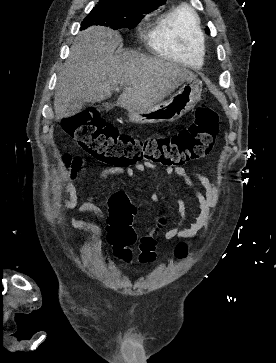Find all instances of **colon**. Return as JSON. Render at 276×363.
<instances>
[{
	"label": "colon",
	"instance_id": "5ec220e1",
	"mask_svg": "<svg viewBox=\"0 0 276 363\" xmlns=\"http://www.w3.org/2000/svg\"><path fill=\"white\" fill-rule=\"evenodd\" d=\"M62 128L84 151L100 161L117 166L146 161L179 167L210 152L219 130V119L210 106L203 104L196 109L194 121L188 128L175 134L139 140L128 134H120L101 118L97 110L91 109L65 118ZM108 239L114 245L118 258L131 261L133 255L130 247L136 243L137 235L128 213L112 209L108 220ZM155 249L154 236H142L139 239V262L154 261ZM187 252V244L179 243L175 249L176 258L186 257Z\"/></svg>",
	"mask_w": 276,
	"mask_h": 363
}]
</instances>
